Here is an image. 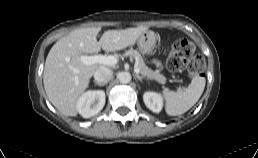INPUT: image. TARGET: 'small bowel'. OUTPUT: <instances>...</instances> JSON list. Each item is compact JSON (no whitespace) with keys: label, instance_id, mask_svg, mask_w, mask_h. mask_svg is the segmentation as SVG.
<instances>
[{"label":"small bowel","instance_id":"obj_1","mask_svg":"<svg viewBox=\"0 0 258 158\" xmlns=\"http://www.w3.org/2000/svg\"><path fill=\"white\" fill-rule=\"evenodd\" d=\"M158 65H160V63L159 62H156Z\"/></svg>","mask_w":258,"mask_h":158}]
</instances>
